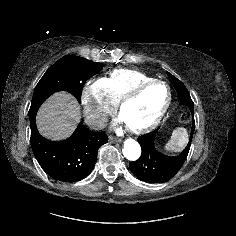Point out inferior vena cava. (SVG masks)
Returning <instances> with one entry per match:
<instances>
[{
  "mask_svg": "<svg viewBox=\"0 0 236 236\" xmlns=\"http://www.w3.org/2000/svg\"><path fill=\"white\" fill-rule=\"evenodd\" d=\"M106 122H107L106 117H97L92 119L89 124L93 129L101 130L105 128Z\"/></svg>",
  "mask_w": 236,
  "mask_h": 236,
  "instance_id": "obj_1",
  "label": "inferior vena cava"
}]
</instances>
